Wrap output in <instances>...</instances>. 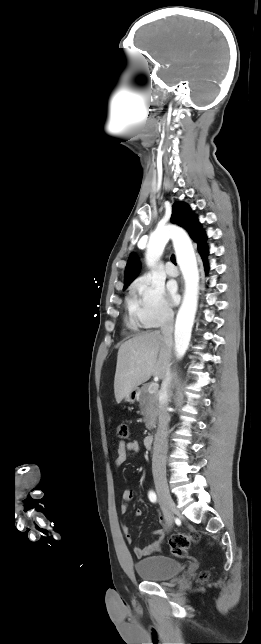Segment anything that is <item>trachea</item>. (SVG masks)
<instances>
[{"instance_id": "trachea-1", "label": "trachea", "mask_w": 261, "mask_h": 644, "mask_svg": "<svg viewBox=\"0 0 261 644\" xmlns=\"http://www.w3.org/2000/svg\"><path fill=\"white\" fill-rule=\"evenodd\" d=\"M171 260H172V262L176 265V260H175V256H174V255H172Z\"/></svg>"}]
</instances>
